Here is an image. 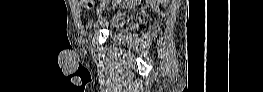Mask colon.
<instances>
[{
  "instance_id": "5ec220e1",
  "label": "colon",
  "mask_w": 263,
  "mask_h": 92,
  "mask_svg": "<svg viewBox=\"0 0 263 92\" xmlns=\"http://www.w3.org/2000/svg\"><path fill=\"white\" fill-rule=\"evenodd\" d=\"M79 2L82 3V4H84L85 7L90 8V7H91L90 4H91L93 1L81 0V1H79ZM100 2H106V1H100Z\"/></svg>"
}]
</instances>
